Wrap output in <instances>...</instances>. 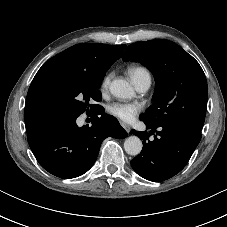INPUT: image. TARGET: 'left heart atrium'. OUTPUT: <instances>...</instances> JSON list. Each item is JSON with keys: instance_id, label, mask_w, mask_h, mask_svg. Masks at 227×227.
<instances>
[{"instance_id": "left-heart-atrium-1", "label": "left heart atrium", "mask_w": 227, "mask_h": 227, "mask_svg": "<svg viewBox=\"0 0 227 227\" xmlns=\"http://www.w3.org/2000/svg\"><path fill=\"white\" fill-rule=\"evenodd\" d=\"M141 110V105L135 102H114L110 104L107 111L112 116L130 122Z\"/></svg>"}]
</instances>
